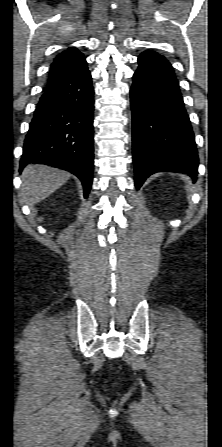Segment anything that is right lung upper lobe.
Instances as JSON below:
<instances>
[{"mask_svg": "<svg viewBox=\"0 0 222 447\" xmlns=\"http://www.w3.org/2000/svg\"><path fill=\"white\" fill-rule=\"evenodd\" d=\"M83 60V54L75 47H69L59 54L51 64L47 87L71 74L75 67Z\"/></svg>", "mask_w": 222, "mask_h": 447, "instance_id": "obj_1", "label": "right lung upper lobe"}]
</instances>
